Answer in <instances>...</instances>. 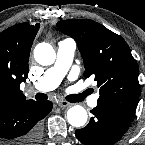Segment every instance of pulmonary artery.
Instances as JSON below:
<instances>
[{
    "instance_id": "1",
    "label": "pulmonary artery",
    "mask_w": 145,
    "mask_h": 145,
    "mask_svg": "<svg viewBox=\"0 0 145 145\" xmlns=\"http://www.w3.org/2000/svg\"><path fill=\"white\" fill-rule=\"evenodd\" d=\"M76 50V42L73 39H64L58 43L57 57L54 65L46 70L44 75L32 87L40 92H47L55 89L63 78L66 76ZM98 95H94L89 99V105L95 107L97 105Z\"/></svg>"
}]
</instances>
